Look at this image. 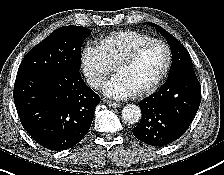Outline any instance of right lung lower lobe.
I'll use <instances>...</instances> for the list:
<instances>
[{
    "label": "right lung lower lobe",
    "mask_w": 224,
    "mask_h": 175,
    "mask_svg": "<svg viewBox=\"0 0 224 175\" xmlns=\"http://www.w3.org/2000/svg\"><path fill=\"white\" fill-rule=\"evenodd\" d=\"M13 97L24 129L54 151L69 149L86 135L100 103L79 72H18Z\"/></svg>",
    "instance_id": "1"
}]
</instances>
